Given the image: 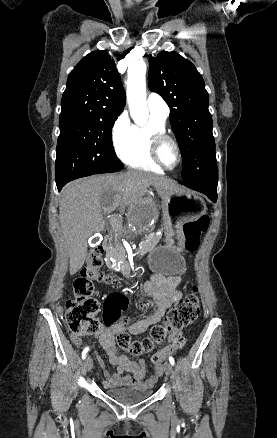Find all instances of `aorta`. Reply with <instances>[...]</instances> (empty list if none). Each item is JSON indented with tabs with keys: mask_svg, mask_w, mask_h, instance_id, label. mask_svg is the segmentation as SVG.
Instances as JSON below:
<instances>
[{
	"mask_svg": "<svg viewBox=\"0 0 277 438\" xmlns=\"http://www.w3.org/2000/svg\"><path fill=\"white\" fill-rule=\"evenodd\" d=\"M127 100L134 122L143 126L148 118L146 103V64L134 58L128 66ZM155 210L151 203L139 206L133 213L131 226L135 233L144 232L154 221Z\"/></svg>",
	"mask_w": 277,
	"mask_h": 438,
	"instance_id": "aorta-1",
	"label": "aorta"
}]
</instances>
